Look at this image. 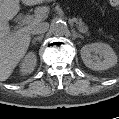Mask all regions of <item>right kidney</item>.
Wrapping results in <instances>:
<instances>
[{
    "label": "right kidney",
    "mask_w": 119,
    "mask_h": 119,
    "mask_svg": "<svg viewBox=\"0 0 119 119\" xmlns=\"http://www.w3.org/2000/svg\"><path fill=\"white\" fill-rule=\"evenodd\" d=\"M36 61V55L33 52L28 53L21 64L20 72L23 75L30 74L34 70Z\"/></svg>",
    "instance_id": "right-kidney-1"
}]
</instances>
